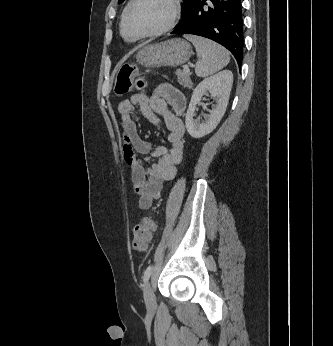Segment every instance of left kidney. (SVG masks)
Instances as JSON below:
<instances>
[{
  "instance_id": "5707ae66",
  "label": "left kidney",
  "mask_w": 333,
  "mask_h": 346,
  "mask_svg": "<svg viewBox=\"0 0 333 346\" xmlns=\"http://www.w3.org/2000/svg\"><path fill=\"white\" fill-rule=\"evenodd\" d=\"M233 84V74L230 70H223L201 81L193 91L186 113L185 124L188 133L193 138H202L211 133L221 121L229 101ZM216 98L217 104L210 110L204 122L193 119L196 105L206 92Z\"/></svg>"
}]
</instances>
